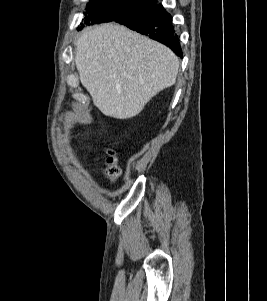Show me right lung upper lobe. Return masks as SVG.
<instances>
[{"label":"right lung upper lobe","mask_w":267,"mask_h":301,"mask_svg":"<svg viewBox=\"0 0 267 301\" xmlns=\"http://www.w3.org/2000/svg\"><path fill=\"white\" fill-rule=\"evenodd\" d=\"M147 1H150L152 3L151 5L156 4V0H147Z\"/></svg>","instance_id":"obj_1"}]
</instances>
